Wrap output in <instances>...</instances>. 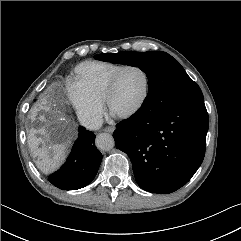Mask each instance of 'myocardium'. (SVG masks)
<instances>
[{
  "instance_id": "obj_1",
  "label": "myocardium",
  "mask_w": 241,
  "mask_h": 241,
  "mask_svg": "<svg viewBox=\"0 0 241 241\" xmlns=\"http://www.w3.org/2000/svg\"><path fill=\"white\" fill-rule=\"evenodd\" d=\"M131 68L138 69L143 73L144 78H145V86H144V91H143V94H142L139 102L131 110H129L125 113H122V114H116L121 119H128V118H131V117L135 116L136 114H138L142 110L144 105L146 104L147 99L149 97V93H150L151 81H150V76H149L148 71L144 67H142L141 65H138V64H125L114 73V75L111 77V79L107 85L105 96H104V103H105L107 109L112 112L111 98L114 94L118 78L120 77L122 72H124L127 69H131Z\"/></svg>"
}]
</instances>
